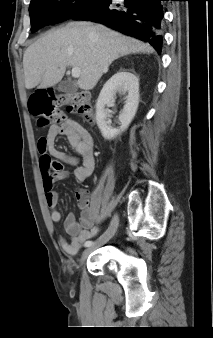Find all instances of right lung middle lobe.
<instances>
[{
  "mask_svg": "<svg viewBox=\"0 0 213 338\" xmlns=\"http://www.w3.org/2000/svg\"><path fill=\"white\" fill-rule=\"evenodd\" d=\"M94 1L96 0H31L29 7L31 31L36 32L46 25L71 19Z\"/></svg>",
  "mask_w": 213,
  "mask_h": 338,
  "instance_id": "1",
  "label": "right lung middle lobe"
}]
</instances>
